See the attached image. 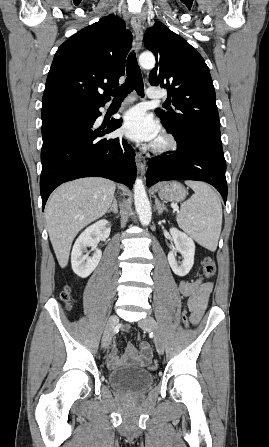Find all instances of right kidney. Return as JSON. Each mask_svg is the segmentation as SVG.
Returning a JSON list of instances; mask_svg holds the SVG:
<instances>
[{"label":"right kidney","instance_id":"right-kidney-1","mask_svg":"<svg viewBox=\"0 0 269 447\" xmlns=\"http://www.w3.org/2000/svg\"><path fill=\"white\" fill-rule=\"evenodd\" d=\"M110 231V222H107V220H99V222L89 225V227H86L80 233L73 245L71 253L72 269L77 275H80V277H88L92 273L101 259L102 251L101 249H96L91 257H87L85 251H87V247H90V245L99 243L100 239L109 237Z\"/></svg>","mask_w":269,"mask_h":447}]
</instances>
